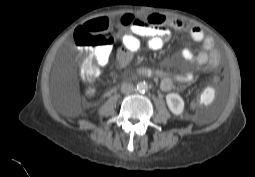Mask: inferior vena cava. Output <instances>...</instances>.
Returning a JSON list of instances; mask_svg holds the SVG:
<instances>
[{"instance_id": "1", "label": "inferior vena cava", "mask_w": 255, "mask_h": 177, "mask_svg": "<svg viewBox=\"0 0 255 177\" xmlns=\"http://www.w3.org/2000/svg\"><path fill=\"white\" fill-rule=\"evenodd\" d=\"M135 90L133 84L131 83H123L121 85V92L124 94H130Z\"/></svg>"}]
</instances>
